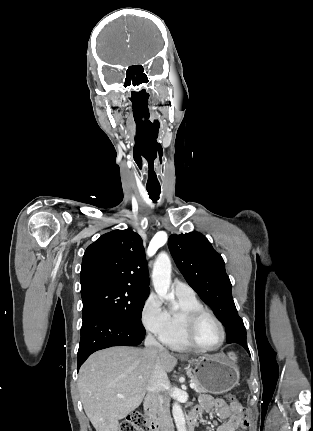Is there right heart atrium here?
Wrapping results in <instances>:
<instances>
[{
    "label": "right heart atrium",
    "instance_id": "1",
    "mask_svg": "<svg viewBox=\"0 0 313 431\" xmlns=\"http://www.w3.org/2000/svg\"><path fill=\"white\" fill-rule=\"evenodd\" d=\"M141 321L145 329L160 339L168 329V312L157 295H150L141 310Z\"/></svg>",
    "mask_w": 313,
    "mask_h": 431
}]
</instances>
